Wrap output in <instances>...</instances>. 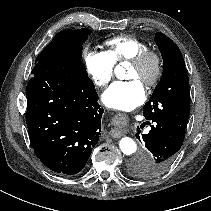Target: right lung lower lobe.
<instances>
[{
  "mask_svg": "<svg viewBox=\"0 0 211 211\" xmlns=\"http://www.w3.org/2000/svg\"><path fill=\"white\" fill-rule=\"evenodd\" d=\"M26 87V122L36 156L64 175L79 173L101 135L93 82L56 55L39 54Z\"/></svg>",
  "mask_w": 211,
  "mask_h": 211,
  "instance_id": "1",
  "label": "right lung lower lobe"
}]
</instances>
